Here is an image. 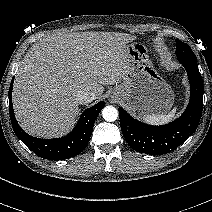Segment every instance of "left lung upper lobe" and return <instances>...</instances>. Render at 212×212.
<instances>
[{
    "mask_svg": "<svg viewBox=\"0 0 212 212\" xmlns=\"http://www.w3.org/2000/svg\"><path fill=\"white\" fill-rule=\"evenodd\" d=\"M176 56L196 58L191 48L180 40L176 41Z\"/></svg>",
    "mask_w": 212,
    "mask_h": 212,
    "instance_id": "obj_1",
    "label": "left lung upper lobe"
}]
</instances>
